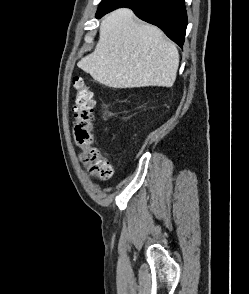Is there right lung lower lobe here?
<instances>
[{
    "label": "right lung lower lobe",
    "instance_id": "1",
    "mask_svg": "<svg viewBox=\"0 0 249 294\" xmlns=\"http://www.w3.org/2000/svg\"><path fill=\"white\" fill-rule=\"evenodd\" d=\"M120 7L131 8L140 19L158 26L171 40L183 46L187 27L184 0H122L98 12L96 17Z\"/></svg>",
    "mask_w": 249,
    "mask_h": 294
}]
</instances>
